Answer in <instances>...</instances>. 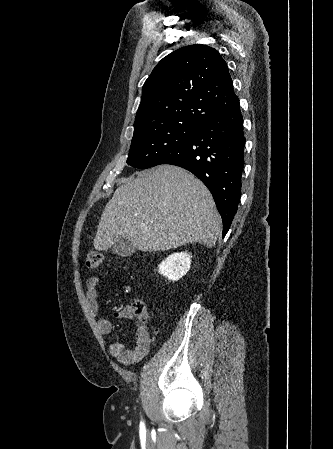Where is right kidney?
<instances>
[{"label":"right kidney","mask_w":333,"mask_h":449,"mask_svg":"<svg viewBox=\"0 0 333 449\" xmlns=\"http://www.w3.org/2000/svg\"><path fill=\"white\" fill-rule=\"evenodd\" d=\"M191 258L192 256L187 252L171 254L159 264V273L169 281H178L188 273L191 267Z\"/></svg>","instance_id":"1"}]
</instances>
